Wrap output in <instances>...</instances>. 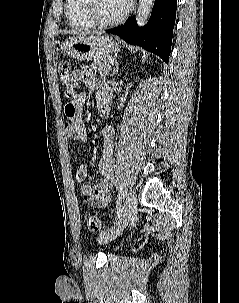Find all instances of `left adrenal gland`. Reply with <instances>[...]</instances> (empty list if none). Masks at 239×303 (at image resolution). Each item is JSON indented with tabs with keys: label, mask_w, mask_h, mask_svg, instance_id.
<instances>
[{
	"label": "left adrenal gland",
	"mask_w": 239,
	"mask_h": 303,
	"mask_svg": "<svg viewBox=\"0 0 239 303\" xmlns=\"http://www.w3.org/2000/svg\"><path fill=\"white\" fill-rule=\"evenodd\" d=\"M118 70H119V64L116 62L115 67L113 69L112 76L116 75L118 73Z\"/></svg>",
	"instance_id": "1"
}]
</instances>
